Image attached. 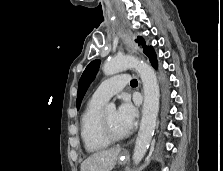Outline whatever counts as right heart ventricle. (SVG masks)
Returning a JSON list of instances; mask_svg holds the SVG:
<instances>
[{
	"label": "right heart ventricle",
	"mask_w": 223,
	"mask_h": 171,
	"mask_svg": "<svg viewBox=\"0 0 223 171\" xmlns=\"http://www.w3.org/2000/svg\"><path fill=\"white\" fill-rule=\"evenodd\" d=\"M105 102L91 98L80 117V136L85 150L97 153L108 148L110 142L100 132L99 119Z\"/></svg>",
	"instance_id": "1"
}]
</instances>
